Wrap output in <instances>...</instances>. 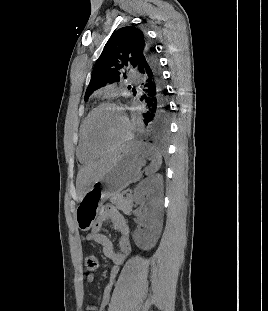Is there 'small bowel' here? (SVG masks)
<instances>
[{
	"label": "small bowel",
	"instance_id": "small-bowel-1",
	"mask_svg": "<svg viewBox=\"0 0 268 311\" xmlns=\"http://www.w3.org/2000/svg\"><path fill=\"white\" fill-rule=\"evenodd\" d=\"M110 222L112 227L119 234L118 247H115L112 241L101 232L104 223ZM87 241L96 242L102 245L104 256L113 264L111 279L114 278L131 254L132 248L130 243V233L128 225L122 214L114 207H105L97 222L86 236ZM87 283L94 281V275L88 273L85 277ZM111 282L104 290L101 306L98 308L94 305H88L86 311H103L110 301Z\"/></svg>",
	"mask_w": 268,
	"mask_h": 311
}]
</instances>
